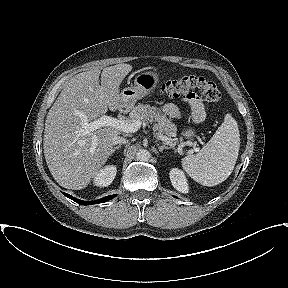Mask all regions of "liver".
<instances>
[{"label": "liver", "mask_w": 288, "mask_h": 288, "mask_svg": "<svg viewBox=\"0 0 288 288\" xmlns=\"http://www.w3.org/2000/svg\"><path fill=\"white\" fill-rule=\"evenodd\" d=\"M132 70L130 64L96 67L73 76L49 110L44 132V156L55 181L62 187L80 190L91 180L113 153V138L122 131L105 126L82 133V119L95 120L121 110L119 87ZM95 137L97 146L92 150Z\"/></svg>", "instance_id": "6515ba94"}]
</instances>
